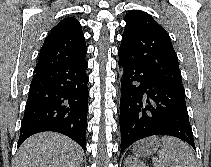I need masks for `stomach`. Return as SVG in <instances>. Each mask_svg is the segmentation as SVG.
Segmentation results:
<instances>
[{
    "mask_svg": "<svg viewBox=\"0 0 211 167\" xmlns=\"http://www.w3.org/2000/svg\"><path fill=\"white\" fill-rule=\"evenodd\" d=\"M161 147L158 137H150L138 142L134 148V154L142 157H148L155 153Z\"/></svg>",
    "mask_w": 211,
    "mask_h": 167,
    "instance_id": "obj_1",
    "label": "stomach"
}]
</instances>
